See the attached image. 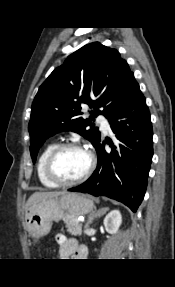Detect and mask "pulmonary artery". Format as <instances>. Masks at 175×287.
<instances>
[{"label": "pulmonary artery", "mask_w": 175, "mask_h": 287, "mask_svg": "<svg viewBox=\"0 0 175 287\" xmlns=\"http://www.w3.org/2000/svg\"><path fill=\"white\" fill-rule=\"evenodd\" d=\"M98 121L101 124V127H102L104 132H108L110 130V125H109V122L106 118L101 116L98 118Z\"/></svg>", "instance_id": "obj_1"}]
</instances>
